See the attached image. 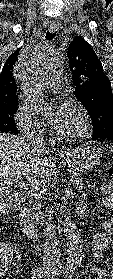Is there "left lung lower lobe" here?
Segmentation results:
<instances>
[{
  "label": "left lung lower lobe",
  "mask_w": 113,
  "mask_h": 279,
  "mask_svg": "<svg viewBox=\"0 0 113 279\" xmlns=\"http://www.w3.org/2000/svg\"><path fill=\"white\" fill-rule=\"evenodd\" d=\"M101 139H108V140H112L113 139V131L112 130H108L104 133L98 134V135H94L91 138V140H101Z\"/></svg>",
  "instance_id": "obj_1"
}]
</instances>
